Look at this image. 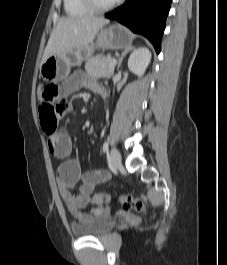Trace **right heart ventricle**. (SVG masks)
<instances>
[{"label":"right heart ventricle","mask_w":227,"mask_h":265,"mask_svg":"<svg viewBox=\"0 0 227 265\" xmlns=\"http://www.w3.org/2000/svg\"><path fill=\"white\" fill-rule=\"evenodd\" d=\"M64 10L68 16L77 17L91 13L82 0H63Z\"/></svg>","instance_id":"obj_1"}]
</instances>
